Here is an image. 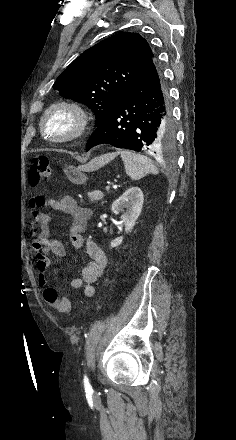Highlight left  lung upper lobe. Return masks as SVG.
Here are the masks:
<instances>
[{"label":"left lung upper lobe","mask_w":236,"mask_h":440,"mask_svg":"<svg viewBox=\"0 0 236 440\" xmlns=\"http://www.w3.org/2000/svg\"><path fill=\"white\" fill-rule=\"evenodd\" d=\"M154 58L142 36L121 32L76 58L57 78L53 88L65 98L89 106L99 126Z\"/></svg>","instance_id":"5c2ea615"}]
</instances>
